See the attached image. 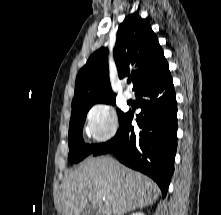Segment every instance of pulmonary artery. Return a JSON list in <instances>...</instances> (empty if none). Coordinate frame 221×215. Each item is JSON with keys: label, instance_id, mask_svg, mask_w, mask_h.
Segmentation results:
<instances>
[{"label": "pulmonary artery", "instance_id": "1", "mask_svg": "<svg viewBox=\"0 0 221 215\" xmlns=\"http://www.w3.org/2000/svg\"><path fill=\"white\" fill-rule=\"evenodd\" d=\"M123 96L126 100H130L132 98V93L129 90H125Z\"/></svg>", "mask_w": 221, "mask_h": 215}]
</instances>
